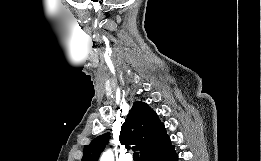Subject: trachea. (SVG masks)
Instances as JSON below:
<instances>
[{"label": "trachea", "mask_w": 261, "mask_h": 161, "mask_svg": "<svg viewBox=\"0 0 261 161\" xmlns=\"http://www.w3.org/2000/svg\"><path fill=\"white\" fill-rule=\"evenodd\" d=\"M133 159L134 161H139V152H134Z\"/></svg>", "instance_id": "1"}]
</instances>
